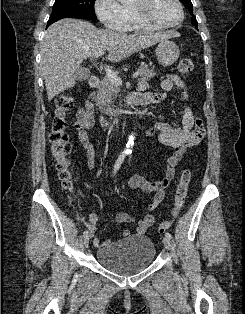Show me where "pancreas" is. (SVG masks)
Here are the masks:
<instances>
[{"instance_id": "pancreas-1", "label": "pancreas", "mask_w": 245, "mask_h": 314, "mask_svg": "<svg viewBox=\"0 0 245 314\" xmlns=\"http://www.w3.org/2000/svg\"><path fill=\"white\" fill-rule=\"evenodd\" d=\"M137 72L139 73L138 81H149L156 75L153 69H149L147 65H141ZM120 88L117 85L112 84L108 77H105L99 86V90L95 97V103L102 111L103 114L113 116L116 111L112 106L114 100L119 97Z\"/></svg>"}]
</instances>
